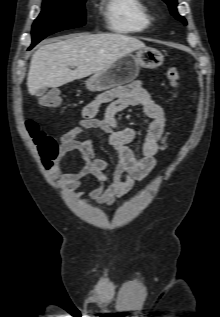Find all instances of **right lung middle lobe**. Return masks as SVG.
<instances>
[{
    "label": "right lung middle lobe",
    "mask_w": 220,
    "mask_h": 317,
    "mask_svg": "<svg viewBox=\"0 0 220 317\" xmlns=\"http://www.w3.org/2000/svg\"><path fill=\"white\" fill-rule=\"evenodd\" d=\"M86 0H43V9L32 26V45L46 36L85 24Z\"/></svg>",
    "instance_id": "right-lung-middle-lobe-1"
}]
</instances>
